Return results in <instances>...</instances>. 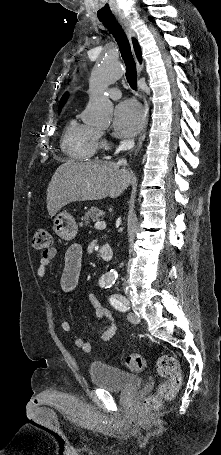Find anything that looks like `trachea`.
Masks as SVG:
<instances>
[{
    "label": "trachea",
    "instance_id": "obj_1",
    "mask_svg": "<svg viewBox=\"0 0 221 455\" xmlns=\"http://www.w3.org/2000/svg\"><path fill=\"white\" fill-rule=\"evenodd\" d=\"M106 27L108 28L109 32L113 35L115 40L118 43L122 58L126 65V79L129 83L130 87L135 90L137 87V72H136V64L131 52L130 44L127 39V36L122 29V27L118 24V22L113 18H102L100 19Z\"/></svg>",
    "mask_w": 221,
    "mask_h": 455
}]
</instances>
